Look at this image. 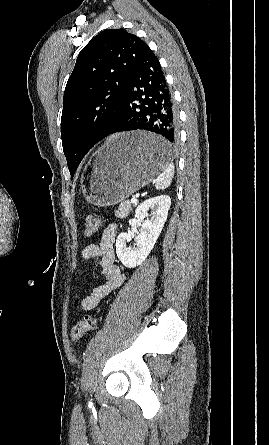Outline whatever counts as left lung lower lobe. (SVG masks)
Wrapping results in <instances>:
<instances>
[{
	"mask_svg": "<svg viewBox=\"0 0 269 445\" xmlns=\"http://www.w3.org/2000/svg\"><path fill=\"white\" fill-rule=\"evenodd\" d=\"M130 130L158 134L169 151L178 139V115L173 97L159 60L149 47L128 81L119 118L101 139L112 133Z\"/></svg>",
	"mask_w": 269,
	"mask_h": 445,
	"instance_id": "left-lung-lower-lobe-1",
	"label": "left lung lower lobe"
}]
</instances>
